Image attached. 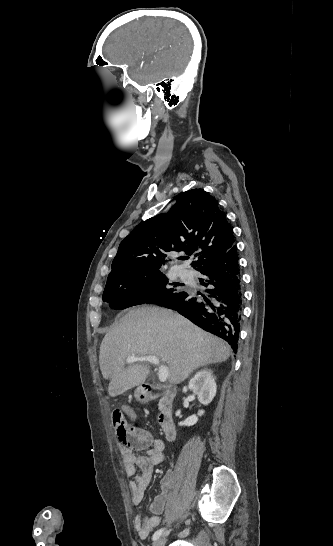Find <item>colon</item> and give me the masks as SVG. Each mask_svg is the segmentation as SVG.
<instances>
[{"label": "colon", "mask_w": 333, "mask_h": 546, "mask_svg": "<svg viewBox=\"0 0 333 546\" xmlns=\"http://www.w3.org/2000/svg\"><path fill=\"white\" fill-rule=\"evenodd\" d=\"M112 424L119 442L122 445H130V433L133 431V427L127 422L121 410L113 411Z\"/></svg>", "instance_id": "colon-1"}]
</instances>
